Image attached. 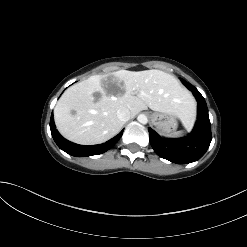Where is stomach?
Returning <instances> with one entry per match:
<instances>
[{
	"label": "stomach",
	"mask_w": 247,
	"mask_h": 247,
	"mask_svg": "<svg viewBox=\"0 0 247 247\" xmlns=\"http://www.w3.org/2000/svg\"><path fill=\"white\" fill-rule=\"evenodd\" d=\"M152 123L163 134L172 133L178 127L177 116L161 112L152 114Z\"/></svg>",
	"instance_id": "stomach-1"
}]
</instances>
